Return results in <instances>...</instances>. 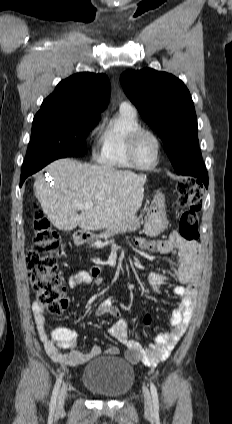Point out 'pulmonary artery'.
Segmentation results:
<instances>
[{"label":"pulmonary artery","instance_id":"obj_1","mask_svg":"<svg viewBox=\"0 0 232 424\" xmlns=\"http://www.w3.org/2000/svg\"><path fill=\"white\" fill-rule=\"evenodd\" d=\"M120 107H122V108H132L131 105L127 102H123Z\"/></svg>","mask_w":232,"mask_h":424}]
</instances>
